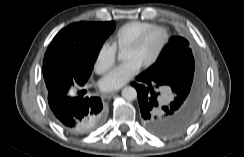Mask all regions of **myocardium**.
<instances>
[{"instance_id":"myocardium-1","label":"myocardium","mask_w":244,"mask_h":157,"mask_svg":"<svg viewBox=\"0 0 244 157\" xmlns=\"http://www.w3.org/2000/svg\"><path fill=\"white\" fill-rule=\"evenodd\" d=\"M161 32L164 36L163 42L159 48V50L157 51V53L154 55L153 58H151L148 62H146L145 64L142 65V68L147 69L150 68L152 66H154L163 56L166 48L168 47L170 40H171V33L170 31L163 26H154L150 29L145 30L144 32H142L137 38H135L126 48L127 49H137L138 47H140L143 42L147 39V37L149 35H151L154 32Z\"/></svg>"}]
</instances>
